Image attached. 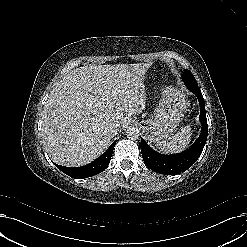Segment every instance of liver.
<instances>
[{
    "label": "liver",
    "mask_w": 247,
    "mask_h": 247,
    "mask_svg": "<svg viewBox=\"0 0 247 247\" xmlns=\"http://www.w3.org/2000/svg\"><path fill=\"white\" fill-rule=\"evenodd\" d=\"M151 63L83 66L70 71L50 92L43 111L45 151L57 164L83 166L99 157L113 135L145 109L144 78Z\"/></svg>",
    "instance_id": "liver-1"
}]
</instances>
